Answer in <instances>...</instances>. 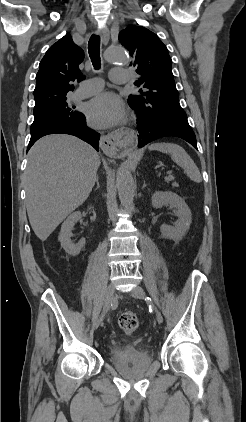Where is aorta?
<instances>
[{"mask_svg": "<svg viewBox=\"0 0 246 422\" xmlns=\"http://www.w3.org/2000/svg\"><path fill=\"white\" fill-rule=\"evenodd\" d=\"M105 60L109 63H126L128 56L120 46H110L105 52ZM116 185L120 203L123 207H129L134 198V180L127 165H121L118 170Z\"/></svg>", "mask_w": 246, "mask_h": 422, "instance_id": "762f6f07", "label": "aorta"}]
</instances>
